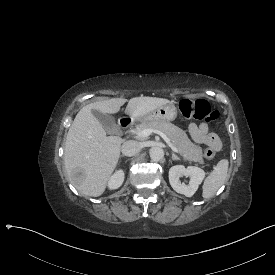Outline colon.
Returning <instances> with one entry per match:
<instances>
[{
    "label": "colon",
    "instance_id": "5ec220e1",
    "mask_svg": "<svg viewBox=\"0 0 275 275\" xmlns=\"http://www.w3.org/2000/svg\"><path fill=\"white\" fill-rule=\"evenodd\" d=\"M181 115L187 119H194L200 122H212L220 117L218 109H212L209 102L204 99L190 100L183 99L179 104ZM216 152L213 148H206L203 156L206 159H213Z\"/></svg>",
    "mask_w": 275,
    "mask_h": 275
}]
</instances>
